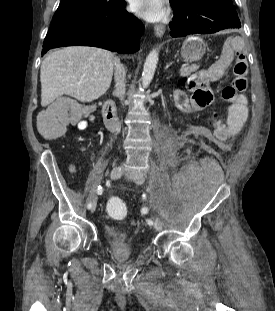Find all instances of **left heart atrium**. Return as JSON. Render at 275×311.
Instances as JSON below:
<instances>
[{"label": "left heart atrium", "instance_id": "obj_1", "mask_svg": "<svg viewBox=\"0 0 275 311\" xmlns=\"http://www.w3.org/2000/svg\"><path fill=\"white\" fill-rule=\"evenodd\" d=\"M133 11L150 22L166 19L168 7L166 0H131Z\"/></svg>", "mask_w": 275, "mask_h": 311}]
</instances>
